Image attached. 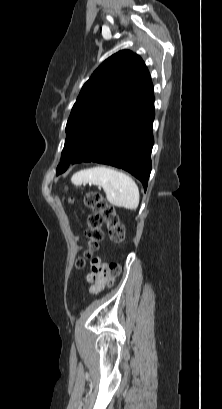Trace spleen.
<instances>
[{
	"label": "spleen",
	"instance_id": "obj_1",
	"mask_svg": "<svg viewBox=\"0 0 222 409\" xmlns=\"http://www.w3.org/2000/svg\"><path fill=\"white\" fill-rule=\"evenodd\" d=\"M71 182L76 186L87 183L101 186L113 206L135 210L139 205L137 184L130 176L115 169L104 166L84 169L76 172Z\"/></svg>",
	"mask_w": 222,
	"mask_h": 409
}]
</instances>
